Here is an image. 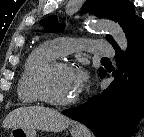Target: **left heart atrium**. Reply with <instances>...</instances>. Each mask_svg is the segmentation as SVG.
Masks as SVG:
<instances>
[{
    "instance_id": "obj_1",
    "label": "left heart atrium",
    "mask_w": 144,
    "mask_h": 137,
    "mask_svg": "<svg viewBox=\"0 0 144 137\" xmlns=\"http://www.w3.org/2000/svg\"><path fill=\"white\" fill-rule=\"evenodd\" d=\"M88 82H89V74L86 70L79 69L73 71L72 87L76 95L80 94L87 88Z\"/></svg>"
}]
</instances>
